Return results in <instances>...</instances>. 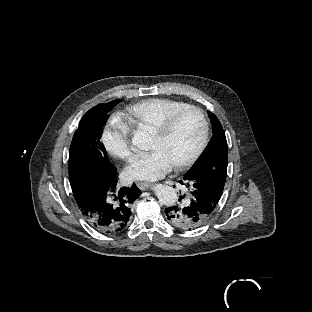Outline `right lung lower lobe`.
Returning a JSON list of instances; mask_svg holds the SVG:
<instances>
[{
    "label": "right lung lower lobe",
    "instance_id": "98d812e1",
    "mask_svg": "<svg viewBox=\"0 0 312 312\" xmlns=\"http://www.w3.org/2000/svg\"><path fill=\"white\" fill-rule=\"evenodd\" d=\"M117 175L105 177L81 186L74 198L87 223L100 233H123L131 215V205L140 194L135 184L131 188H116Z\"/></svg>",
    "mask_w": 312,
    "mask_h": 312
}]
</instances>
